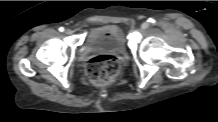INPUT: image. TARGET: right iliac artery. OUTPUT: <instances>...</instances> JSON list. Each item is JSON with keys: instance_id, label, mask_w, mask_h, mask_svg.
I'll list each match as a JSON object with an SVG mask.
<instances>
[{"instance_id": "obj_1", "label": "right iliac artery", "mask_w": 218, "mask_h": 122, "mask_svg": "<svg viewBox=\"0 0 218 122\" xmlns=\"http://www.w3.org/2000/svg\"><path fill=\"white\" fill-rule=\"evenodd\" d=\"M59 31H60V32H63V31H64V28H63V27H60V28H59Z\"/></svg>"}]
</instances>
